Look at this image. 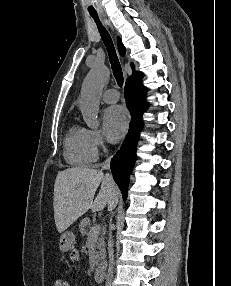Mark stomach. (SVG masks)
<instances>
[{"instance_id":"stomach-1","label":"stomach","mask_w":231,"mask_h":286,"mask_svg":"<svg viewBox=\"0 0 231 286\" xmlns=\"http://www.w3.org/2000/svg\"><path fill=\"white\" fill-rule=\"evenodd\" d=\"M75 241V235L71 231L64 232L60 237L59 248L63 252H67L71 249Z\"/></svg>"}]
</instances>
